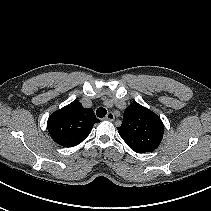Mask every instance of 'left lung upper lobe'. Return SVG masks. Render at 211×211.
I'll list each match as a JSON object with an SVG mask.
<instances>
[{"mask_svg": "<svg viewBox=\"0 0 211 211\" xmlns=\"http://www.w3.org/2000/svg\"><path fill=\"white\" fill-rule=\"evenodd\" d=\"M117 129L126 144L137 153L155 150L164 133L161 119L138 103H132L126 108L122 125Z\"/></svg>", "mask_w": 211, "mask_h": 211, "instance_id": "obj_1", "label": "left lung upper lobe"}]
</instances>
